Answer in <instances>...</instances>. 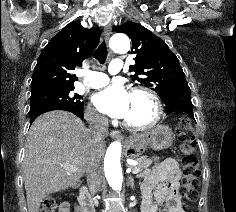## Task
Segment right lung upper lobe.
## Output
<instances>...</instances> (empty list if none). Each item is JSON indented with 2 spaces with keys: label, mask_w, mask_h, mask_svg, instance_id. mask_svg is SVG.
<instances>
[{
  "label": "right lung upper lobe",
  "mask_w": 236,
  "mask_h": 212,
  "mask_svg": "<svg viewBox=\"0 0 236 212\" xmlns=\"http://www.w3.org/2000/svg\"><path fill=\"white\" fill-rule=\"evenodd\" d=\"M99 38L98 28H84L78 21L69 23L41 52L32 75L31 93L48 88L74 87L77 77L72 71L90 57Z\"/></svg>",
  "instance_id": "obj_1"
}]
</instances>
